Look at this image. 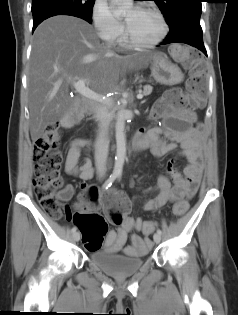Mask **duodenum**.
Segmentation results:
<instances>
[{"mask_svg":"<svg viewBox=\"0 0 238 315\" xmlns=\"http://www.w3.org/2000/svg\"><path fill=\"white\" fill-rule=\"evenodd\" d=\"M132 147L135 151H138V145L135 140H133Z\"/></svg>","mask_w":238,"mask_h":315,"instance_id":"duodenum-1","label":"duodenum"}]
</instances>
